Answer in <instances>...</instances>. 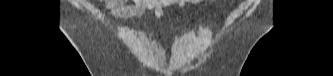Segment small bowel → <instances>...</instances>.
<instances>
[{"instance_id": "c3829d8e", "label": "small bowel", "mask_w": 333, "mask_h": 76, "mask_svg": "<svg viewBox=\"0 0 333 76\" xmlns=\"http://www.w3.org/2000/svg\"><path fill=\"white\" fill-rule=\"evenodd\" d=\"M194 0H137L128 4L126 0H105L103 1L108 14L114 19H125L130 17L142 16L147 12L154 13L156 16L163 15L165 5H176L186 8Z\"/></svg>"}]
</instances>
